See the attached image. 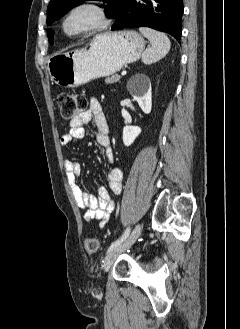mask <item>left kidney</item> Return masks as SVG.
I'll return each mask as SVG.
<instances>
[{
	"instance_id": "left-kidney-1",
	"label": "left kidney",
	"mask_w": 240,
	"mask_h": 329,
	"mask_svg": "<svg viewBox=\"0 0 240 329\" xmlns=\"http://www.w3.org/2000/svg\"><path fill=\"white\" fill-rule=\"evenodd\" d=\"M140 82L141 86L137 88L135 83ZM127 88L134 100L138 102L139 107L145 114H149L152 109V89L150 79L145 74H136L128 82ZM138 126H126L123 128V143L130 146L141 133Z\"/></svg>"
}]
</instances>
